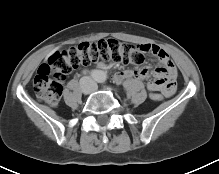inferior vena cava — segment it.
<instances>
[{
  "mask_svg": "<svg viewBox=\"0 0 219 174\" xmlns=\"http://www.w3.org/2000/svg\"><path fill=\"white\" fill-rule=\"evenodd\" d=\"M80 83L85 93H91L97 89V83L91 77H83Z\"/></svg>",
  "mask_w": 219,
  "mask_h": 174,
  "instance_id": "obj_1",
  "label": "inferior vena cava"
}]
</instances>
